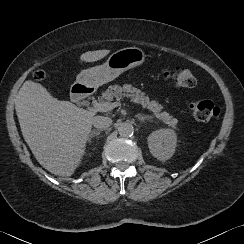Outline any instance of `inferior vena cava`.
<instances>
[{"mask_svg": "<svg viewBox=\"0 0 244 244\" xmlns=\"http://www.w3.org/2000/svg\"><path fill=\"white\" fill-rule=\"evenodd\" d=\"M92 124L98 129H107L112 124V120L109 117L95 116L92 119Z\"/></svg>", "mask_w": 244, "mask_h": 244, "instance_id": "inferior-vena-cava-1", "label": "inferior vena cava"}]
</instances>
